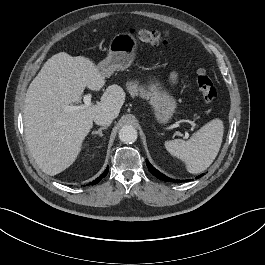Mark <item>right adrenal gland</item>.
Returning <instances> with one entry per match:
<instances>
[{"mask_svg": "<svg viewBox=\"0 0 265 265\" xmlns=\"http://www.w3.org/2000/svg\"><path fill=\"white\" fill-rule=\"evenodd\" d=\"M107 128H108V126L101 127L97 131H93L92 132V135H99L100 137H102L103 136L102 130H105Z\"/></svg>", "mask_w": 265, "mask_h": 265, "instance_id": "obj_1", "label": "right adrenal gland"}]
</instances>
